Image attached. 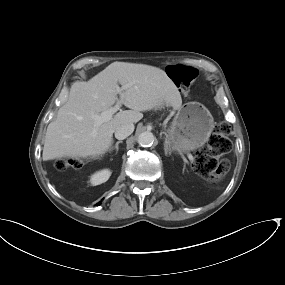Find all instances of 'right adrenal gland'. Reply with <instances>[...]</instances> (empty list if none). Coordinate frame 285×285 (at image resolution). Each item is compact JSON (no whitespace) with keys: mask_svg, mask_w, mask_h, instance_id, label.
Segmentation results:
<instances>
[{"mask_svg":"<svg viewBox=\"0 0 285 285\" xmlns=\"http://www.w3.org/2000/svg\"><path fill=\"white\" fill-rule=\"evenodd\" d=\"M122 142H123V141H121V140H120V141H117V142L115 143V145L110 148V152L113 151L114 149H116V154H117V153H118V150H119V147H118V146H119V144L122 143Z\"/></svg>","mask_w":285,"mask_h":285,"instance_id":"1","label":"right adrenal gland"}]
</instances>
